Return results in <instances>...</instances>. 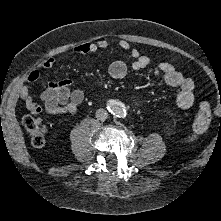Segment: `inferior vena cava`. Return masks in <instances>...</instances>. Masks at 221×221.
<instances>
[{
	"label": "inferior vena cava",
	"mask_w": 221,
	"mask_h": 221,
	"mask_svg": "<svg viewBox=\"0 0 221 221\" xmlns=\"http://www.w3.org/2000/svg\"><path fill=\"white\" fill-rule=\"evenodd\" d=\"M108 117V113L105 109L100 108L96 111V118L100 121L106 120Z\"/></svg>",
	"instance_id": "602c4592"
}]
</instances>
